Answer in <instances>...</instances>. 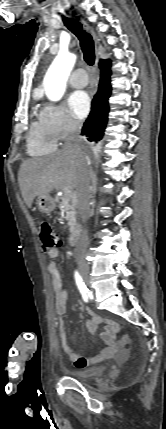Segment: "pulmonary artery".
<instances>
[{"mask_svg":"<svg viewBox=\"0 0 166 429\" xmlns=\"http://www.w3.org/2000/svg\"><path fill=\"white\" fill-rule=\"evenodd\" d=\"M69 82L71 84V86L75 87V88H81V87H85L88 83V76L85 72L84 69H77L75 70L70 79Z\"/></svg>","mask_w":166,"mask_h":429,"instance_id":"pulmonary-artery-1","label":"pulmonary artery"}]
</instances>
